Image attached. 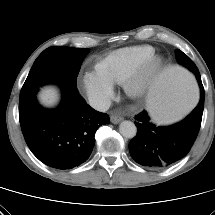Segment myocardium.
<instances>
[{
	"mask_svg": "<svg viewBox=\"0 0 215 215\" xmlns=\"http://www.w3.org/2000/svg\"><path fill=\"white\" fill-rule=\"evenodd\" d=\"M162 68L163 60L153 56L133 69L122 82L126 96L133 100L146 96Z\"/></svg>",
	"mask_w": 215,
	"mask_h": 215,
	"instance_id": "obj_1",
	"label": "myocardium"
}]
</instances>
